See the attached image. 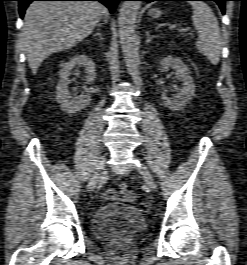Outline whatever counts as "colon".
I'll list each match as a JSON object with an SVG mask.
<instances>
[{"label": "colon", "instance_id": "obj_1", "mask_svg": "<svg viewBox=\"0 0 247 265\" xmlns=\"http://www.w3.org/2000/svg\"><path fill=\"white\" fill-rule=\"evenodd\" d=\"M119 192H121V193H125V192H127L128 191V186H127V184L126 183H121L120 185H119Z\"/></svg>", "mask_w": 247, "mask_h": 265}]
</instances>
